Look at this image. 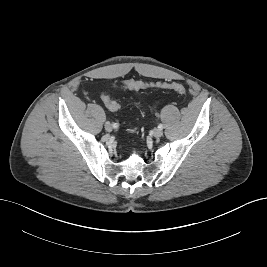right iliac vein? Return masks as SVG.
Returning a JSON list of instances; mask_svg holds the SVG:
<instances>
[{"instance_id":"obj_1","label":"right iliac vein","mask_w":267,"mask_h":267,"mask_svg":"<svg viewBox=\"0 0 267 267\" xmlns=\"http://www.w3.org/2000/svg\"><path fill=\"white\" fill-rule=\"evenodd\" d=\"M105 130L108 132L112 131V124L110 122L105 123Z\"/></svg>"}]
</instances>
